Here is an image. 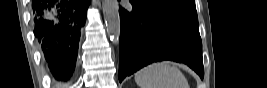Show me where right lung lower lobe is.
<instances>
[{"instance_id":"obj_1","label":"right lung lower lobe","mask_w":267,"mask_h":88,"mask_svg":"<svg viewBox=\"0 0 267 88\" xmlns=\"http://www.w3.org/2000/svg\"><path fill=\"white\" fill-rule=\"evenodd\" d=\"M89 0H33L34 35L58 80L72 74Z\"/></svg>"}]
</instances>
